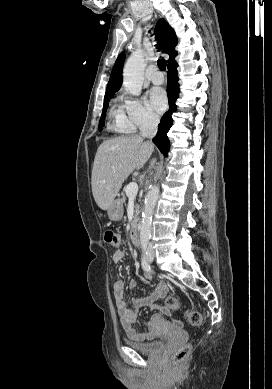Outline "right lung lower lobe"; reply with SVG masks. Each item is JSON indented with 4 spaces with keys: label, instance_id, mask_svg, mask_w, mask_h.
Wrapping results in <instances>:
<instances>
[{
    "label": "right lung lower lobe",
    "instance_id": "right-lung-lower-lobe-1",
    "mask_svg": "<svg viewBox=\"0 0 272 389\" xmlns=\"http://www.w3.org/2000/svg\"><path fill=\"white\" fill-rule=\"evenodd\" d=\"M177 66H178V64L175 61L168 65L167 92H168V101H169L170 108L164 114L163 118L161 119V122L158 126V132H157L156 136L153 138V142L159 148L161 153L164 154V156L168 155V151L170 148V141L167 137V132L169 131V129L173 123V119H172L171 115L177 109L175 101H176L178 94L180 92L179 84H178L179 78H178V73H177V69H176Z\"/></svg>",
    "mask_w": 272,
    "mask_h": 389
}]
</instances>
